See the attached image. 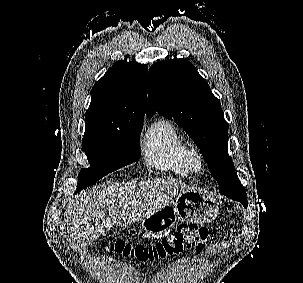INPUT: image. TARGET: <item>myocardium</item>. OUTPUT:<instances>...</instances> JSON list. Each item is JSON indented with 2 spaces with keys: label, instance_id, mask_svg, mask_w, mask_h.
I'll use <instances>...</instances> for the list:
<instances>
[{
  "label": "myocardium",
  "instance_id": "1",
  "mask_svg": "<svg viewBox=\"0 0 303 283\" xmlns=\"http://www.w3.org/2000/svg\"><path fill=\"white\" fill-rule=\"evenodd\" d=\"M187 164L192 173H200L204 167V159L197 148H189L187 151Z\"/></svg>",
  "mask_w": 303,
  "mask_h": 283
}]
</instances>
